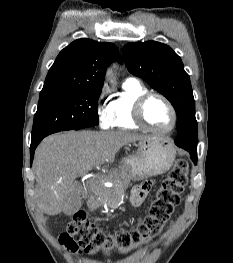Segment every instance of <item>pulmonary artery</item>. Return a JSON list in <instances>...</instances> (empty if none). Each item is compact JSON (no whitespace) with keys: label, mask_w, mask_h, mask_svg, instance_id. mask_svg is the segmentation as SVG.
Segmentation results:
<instances>
[{"label":"pulmonary artery","mask_w":233,"mask_h":263,"mask_svg":"<svg viewBox=\"0 0 233 263\" xmlns=\"http://www.w3.org/2000/svg\"><path fill=\"white\" fill-rule=\"evenodd\" d=\"M130 79L134 80V78H128V80H130Z\"/></svg>","instance_id":"1"}]
</instances>
